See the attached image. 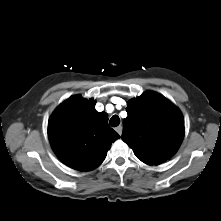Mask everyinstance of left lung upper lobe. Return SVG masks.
Segmentation results:
<instances>
[{"instance_id": "obj_1", "label": "left lung upper lobe", "mask_w": 221, "mask_h": 221, "mask_svg": "<svg viewBox=\"0 0 221 221\" xmlns=\"http://www.w3.org/2000/svg\"><path fill=\"white\" fill-rule=\"evenodd\" d=\"M126 111L122 139L139 160L158 165L176 153L184 137V120L168 99L147 91L130 99Z\"/></svg>"}]
</instances>
